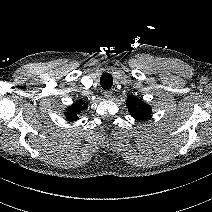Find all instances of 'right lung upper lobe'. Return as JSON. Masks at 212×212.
<instances>
[{
	"mask_svg": "<svg viewBox=\"0 0 212 212\" xmlns=\"http://www.w3.org/2000/svg\"><path fill=\"white\" fill-rule=\"evenodd\" d=\"M86 108L83 101H77L72 106L66 109L65 115L69 121H76L78 119V114Z\"/></svg>",
	"mask_w": 212,
	"mask_h": 212,
	"instance_id": "1",
	"label": "right lung upper lobe"
}]
</instances>
